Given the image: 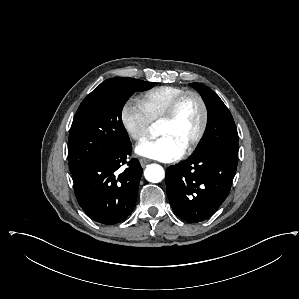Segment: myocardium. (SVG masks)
Here are the masks:
<instances>
[{"label": "myocardium", "mask_w": 299, "mask_h": 299, "mask_svg": "<svg viewBox=\"0 0 299 299\" xmlns=\"http://www.w3.org/2000/svg\"><path fill=\"white\" fill-rule=\"evenodd\" d=\"M189 97H194L199 102V104L201 106V110H202V119H201V124H200L197 134L191 140V142L187 145V147L184 149V154L191 153L200 144V142L202 141V139L205 135V132H206V129L208 126L209 111H208L207 104H206L204 98L201 96V94H199L198 92L193 91V90H186L185 92H183L182 94H180L173 100V102L169 106L167 112L162 117V119L159 121V124L173 122L176 119L177 114H178L182 104Z\"/></svg>", "instance_id": "1"}]
</instances>
